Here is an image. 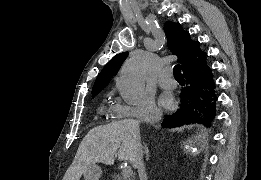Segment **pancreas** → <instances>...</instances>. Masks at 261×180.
Instances as JSON below:
<instances>
[{
  "label": "pancreas",
  "mask_w": 261,
  "mask_h": 180,
  "mask_svg": "<svg viewBox=\"0 0 261 180\" xmlns=\"http://www.w3.org/2000/svg\"><path fill=\"white\" fill-rule=\"evenodd\" d=\"M111 175L113 176L114 180H122L119 171H112Z\"/></svg>",
  "instance_id": "pancreas-1"
}]
</instances>
